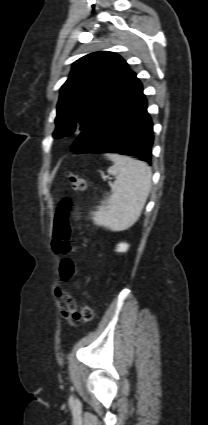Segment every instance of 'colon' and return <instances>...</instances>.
<instances>
[{
	"instance_id": "obj_1",
	"label": "colon",
	"mask_w": 208,
	"mask_h": 425,
	"mask_svg": "<svg viewBox=\"0 0 208 425\" xmlns=\"http://www.w3.org/2000/svg\"><path fill=\"white\" fill-rule=\"evenodd\" d=\"M68 178L71 188L76 192L86 190V182L79 175L68 172ZM78 206L69 198L60 201L53 224L52 247L60 254L71 253L75 247L70 243L71 237V219L78 214ZM79 277V271L76 262L72 259H64L60 264V278L63 281H69ZM55 294L64 302L70 317L77 322L87 323L93 319V310L88 305L82 306L80 311L76 309V302L73 296L65 292L60 286L55 288Z\"/></svg>"
}]
</instances>
